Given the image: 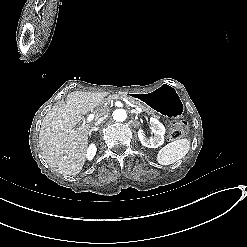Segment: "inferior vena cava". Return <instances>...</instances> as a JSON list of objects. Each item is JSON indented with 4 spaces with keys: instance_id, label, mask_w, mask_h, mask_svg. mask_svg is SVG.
<instances>
[{
    "instance_id": "602c4592",
    "label": "inferior vena cava",
    "mask_w": 247,
    "mask_h": 247,
    "mask_svg": "<svg viewBox=\"0 0 247 247\" xmlns=\"http://www.w3.org/2000/svg\"><path fill=\"white\" fill-rule=\"evenodd\" d=\"M105 118H106V116H102V117L98 118V120L94 124L95 125L94 128H97L96 126L101 124L105 120Z\"/></svg>"
}]
</instances>
